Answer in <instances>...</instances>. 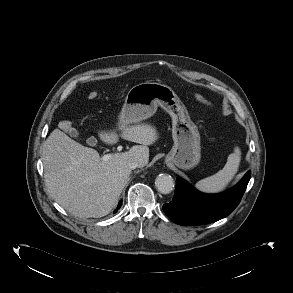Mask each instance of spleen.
<instances>
[{"instance_id": "3e777b00", "label": "spleen", "mask_w": 293, "mask_h": 293, "mask_svg": "<svg viewBox=\"0 0 293 293\" xmlns=\"http://www.w3.org/2000/svg\"><path fill=\"white\" fill-rule=\"evenodd\" d=\"M241 161V151L235 147L234 152L228 156L224 168L216 174L204 178L195 184V187L206 193H218L224 190L236 175Z\"/></svg>"}]
</instances>
